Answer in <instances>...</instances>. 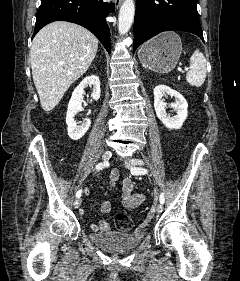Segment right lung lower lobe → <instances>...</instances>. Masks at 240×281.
Masks as SVG:
<instances>
[{"label": "right lung lower lobe", "instance_id": "right-lung-lower-lobe-1", "mask_svg": "<svg viewBox=\"0 0 240 281\" xmlns=\"http://www.w3.org/2000/svg\"><path fill=\"white\" fill-rule=\"evenodd\" d=\"M115 4L103 0H41L33 36L53 21H69L91 31L109 52L110 30L105 18Z\"/></svg>", "mask_w": 240, "mask_h": 281}]
</instances>
